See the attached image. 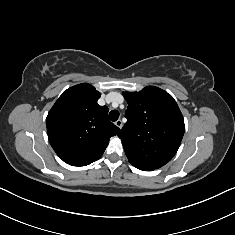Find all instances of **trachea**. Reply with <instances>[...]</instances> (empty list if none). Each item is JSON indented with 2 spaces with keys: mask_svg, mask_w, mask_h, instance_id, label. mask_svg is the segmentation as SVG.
I'll list each match as a JSON object with an SVG mask.
<instances>
[{
  "mask_svg": "<svg viewBox=\"0 0 235 235\" xmlns=\"http://www.w3.org/2000/svg\"><path fill=\"white\" fill-rule=\"evenodd\" d=\"M119 118V112L117 110H112L110 113H109V119L111 121H116L117 119Z\"/></svg>",
  "mask_w": 235,
  "mask_h": 235,
  "instance_id": "obj_1",
  "label": "trachea"
}]
</instances>
